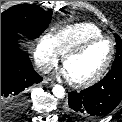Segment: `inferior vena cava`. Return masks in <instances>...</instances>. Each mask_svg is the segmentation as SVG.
<instances>
[{"mask_svg": "<svg viewBox=\"0 0 122 122\" xmlns=\"http://www.w3.org/2000/svg\"><path fill=\"white\" fill-rule=\"evenodd\" d=\"M37 68L40 72L45 73V74L51 71V66L47 64L38 65Z\"/></svg>", "mask_w": 122, "mask_h": 122, "instance_id": "obj_1", "label": "inferior vena cava"}]
</instances>
